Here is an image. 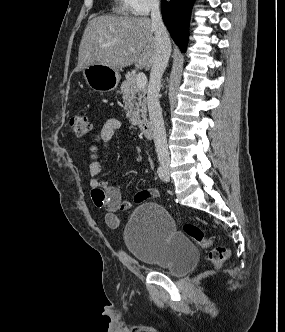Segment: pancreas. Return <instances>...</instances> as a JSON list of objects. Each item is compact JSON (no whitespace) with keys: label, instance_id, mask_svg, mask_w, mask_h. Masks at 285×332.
<instances>
[{"label":"pancreas","instance_id":"cf45deb5","mask_svg":"<svg viewBox=\"0 0 285 332\" xmlns=\"http://www.w3.org/2000/svg\"><path fill=\"white\" fill-rule=\"evenodd\" d=\"M137 75L127 73L126 80L121 84V93L125 104L127 117L132 124L143 127L147 122L146 111V87L138 88L136 85Z\"/></svg>","mask_w":285,"mask_h":332}]
</instances>
